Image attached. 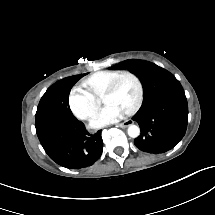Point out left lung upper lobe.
<instances>
[{
	"instance_id": "5c2ea615",
	"label": "left lung upper lobe",
	"mask_w": 215,
	"mask_h": 215,
	"mask_svg": "<svg viewBox=\"0 0 215 215\" xmlns=\"http://www.w3.org/2000/svg\"><path fill=\"white\" fill-rule=\"evenodd\" d=\"M112 68L130 69L143 84V104L132 118L141 130L134 140L136 147L157 154L176 146L185 135L188 122L187 99L179 81L147 61L131 60Z\"/></svg>"
}]
</instances>
